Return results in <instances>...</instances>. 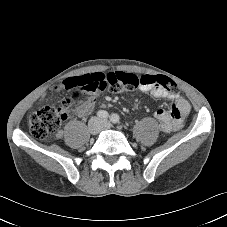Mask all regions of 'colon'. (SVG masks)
<instances>
[{
    "label": "colon",
    "instance_id": "5ec220e1",
    "mask_svg": "<svg viewBox=\"0 0 227 227\" xmlns=\"http://www.w3.org/2000/svg\"><path fill=\"white\" fill-rule=\"evenodd\" d=\"M107 81L110 83L109 92L112 93L134 90L144 84L159 85L173 94L178 92L176 83L163 75L138 77L131 73L111 72L107 74ZM66 90L71 91V96L62 99L58 106L43 107L29 117L30 131L34 138L46 139L51 133L59 129L63 122L74 115L73 101L85 92L81 89Z\"/></svg>",
    "mask_w": 227,
    "mask_h": 227
}]
</instances>
